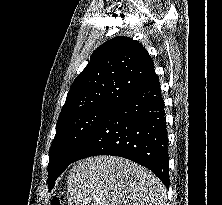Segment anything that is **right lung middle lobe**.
<instances>
[{
	"label": "right lung middle lobe",
	"instance_id": "right-lung-middle-lobe-1",
	"mask_svg": "<svg viewBox=\"0 0 222 205\" xmlns=\"http://www.w3.org/2000/svg\"><path fill=\"white\" fill-rule=\"evenodd\" d=\"M116 104L110 102L93 106L58 121L49 150V186L54 185L55 180L72 163L78 150Z\"/></svg>",
	"mask_w": 222,
	"mask_h": 205
}]
</instances>
